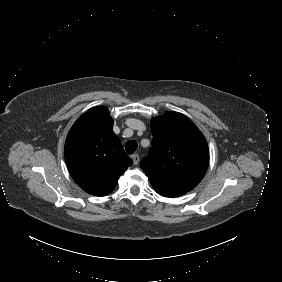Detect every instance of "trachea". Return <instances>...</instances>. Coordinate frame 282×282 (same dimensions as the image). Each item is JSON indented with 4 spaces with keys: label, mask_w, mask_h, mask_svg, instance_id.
Listing matches in <instances>:
<instances>
[{
    "label": "trachea",
    "mask_w": 282,
    "mask_h": 282,
    "mask_svg": "<svg viewBox=\"0 0 282 282\" xmlns=\"http://www.w3.org/2000/svg\"><path fill=\"white\" fill-rule=\"evenodd\" d=\"M137 142L135 140H129L125 144V150L128 154H133L137 150Z\"/></svg>",
    "instance_id": "obj_1"
}]
</instances>
